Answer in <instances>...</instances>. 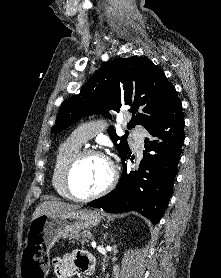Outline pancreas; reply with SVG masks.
<instances>
[{"label": "pancreas", "mask_w": 221, "mask_h": 278, "mask_svg": "<svg viewBox=\"0 0 221 278\" xmlns=\"http://www.w3.org/2000/svg\"><path fill=\"white\" fill-rule=\"evenodd\" d=\"M69 240H71L72 243H75V242H80L82 244H84L85 242H89V240H92V234L90 231H83L81 233L79 232H74V233H71L69 235Z\"/></svg>", "instance_id": "1"}]
</instances>
